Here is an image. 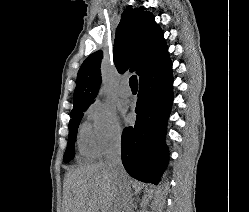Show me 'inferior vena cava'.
I'll return each mask as SVG.
<instances>
[{"mask_svg": "<svg viewBox=\"0 0 249 212\" xmlns=\"http://www.w3.org/2000/svg\"><path fill=\"white\" fill-rule=\"evenodd\" d=\"M106 162L108 166H112L115 170L117 192L113 212H133L130 182L127 180L121 160V140H115L110 144L106 152Z\"/></svg>", "mask_w": 249, "mask_h": 212, "instance_id": "obj_1", "label": "inferior vena cava"}]
</instances>
